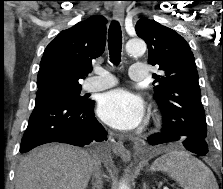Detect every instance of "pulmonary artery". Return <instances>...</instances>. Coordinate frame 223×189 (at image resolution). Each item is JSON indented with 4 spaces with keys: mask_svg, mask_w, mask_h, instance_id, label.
<instances>
[{
    "mask_svg": "<svg viewBox=\"0 0 223 189\" xmlns=\"http://www.w3.org/2000/svg\"><path fill=\"white\" fill-rule=\"evenodd\" d=\"M97 76L89 79L83 86L88 92L101 91L110 88L116 84V79L104 69L97 70ZM129 76L133 82H143L146 79L147 72L145 65L134 63L130 67Z\"/></svg>",
    "mask_w": 223,
    "mask_h": 189,
    "instance_id": "obj_1",
    "label": "pulmonary artery"
}]
</instances>
